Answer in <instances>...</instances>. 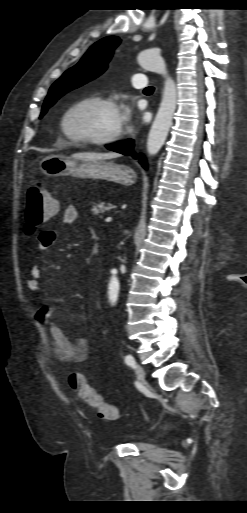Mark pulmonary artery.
<instances>
[{
  "instance_id": "obj_1",
  "label": "pulmonary artery",
  "mask_w": 247,
  "mask_h": 513,
  "mask_svg": "<svg viewBox=\"0 0 247 513\" xmlns=\"http://www.w3.org/2000/svg\"><path fill=\"white\" fill-rule=\"evenodd\" d=\"M132 84L137 89L145 88L148 84L146 76L141 73H136L132 77Z\"/></svg>"
}]
</instances>
